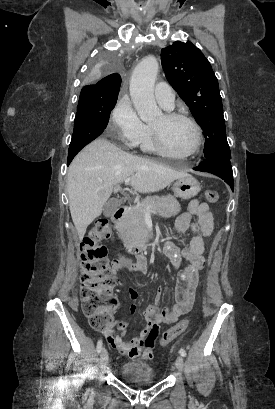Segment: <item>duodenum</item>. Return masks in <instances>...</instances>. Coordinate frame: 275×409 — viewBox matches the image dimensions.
Instances as JSON below:
<instances>
[{"mask_svg":"<svg viewBox=\"0 0 275 409\" xmlns=\"http://www.w3.org/2000/svg\"><path fill=\"white\" fill-rule=\"evenodd\" d=\"M128 207L123 205L121 207H119L115 213L112 216V221L114 224H121L124 216L127 212ZM156 243V239L153 235H150L146 240L138 243V244H134V245H129L128 248L130 251L134 252V253H143L144 251L152 248Z\"/></svg>","mask_w":275,"mask_h":409,"instance_id":"1","label":"duodenum"}]
</instances>
